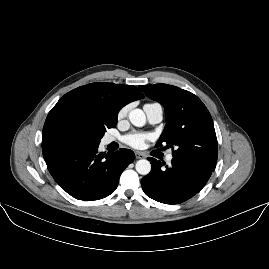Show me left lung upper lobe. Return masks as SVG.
Masks as SVG:
<instances>
[{
  "label": "left lung upper lobe",
  "instance_id": "obj_1",
  "mask_svg": "<svg viewBox=\"0 0 269 269\" xmlns=\"http://www.w3.org/2000/svg\"><path fill=\"white\" fill-rule=\"evenodd\" d=\"M140 89L165 108L166 126L159 138L162 143L176 147L173 157L202 167L215 169L218 146L211 115L202 101L189 91L173 85H140Z\"/></svg>",
  "mask_w": 269,
  "mask_h": 269
}]
</instances>
